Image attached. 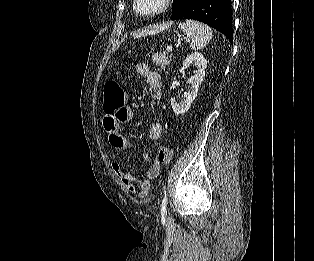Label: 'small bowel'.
Listing matches in <instances>:
<instances>
[{
  "label": "small bowel",
  "instance_id": "small-bowel-1",
  "mask_svg": "<svg viewBox=\"0 0 314 261\" xmlns=\"http://www.w3.org/2000/svg\"><path fill=\"white\" fill-rule=\"evenodd\" d=\"M135 71L138 75L143 76L149 86L151 99L159 101L162 99L163 90L160 75L150 69L148 64L139 62L135 65ZM133 113L130 107L123 105L118 109H109L103 119V125L108 133V139L111 146L116 150H126L128 142L126 137L121 133L120 126L132 120ZM163 133V126L160 122H154L149 129V137L153 141H159ZM145 160H149L148 154L144 155ZM112 171L119 178L125 189L140 197H146L149 193L150 182L157 178L161 171V165L154 162L146 173V179L139 180L135 176L125 172L117 163L112 164Z\"/></svg>",
  "mask_w": 314,
  "mask_h": 261
}]
</instances>
